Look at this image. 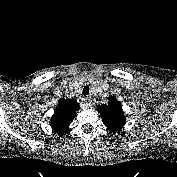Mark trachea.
<instances>
[{"mask_svg":"<svg viewBox=\"0 0 177 177\" xmlns=\"http://www.w3.org/2000/svg\"><path fill=\"white\" fill-rule=\"evenodd\" d=\"M89 90L90 89H89L88 85L84 86L83 91H82L83 95H88L89 94Z\"/></svg>","mask_w":177,"mask_h":177,"instance_id":"3493384b","label":"trachea"}]
</instances>
